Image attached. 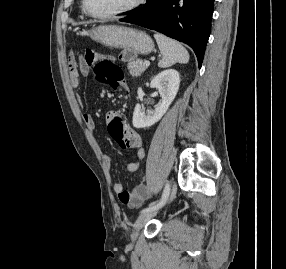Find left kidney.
Instances as JSON below:
<instances>
[{
    "label": "left kidney",
    "mask_w": 286,
    "mask_h": 269,
    "mask_svg": "<svg viewBox=\"0 0 286 269\" xmlns=\"http://www.w3.org/2000/svg\"><path fill=\"white\" fill-rule=\"evenodd\" d=\"M179 85L180 75L174 69L164 70L155 76L150 83V87L158 89L162 103L154 110H147L146 112L137 104L133 112V126L135 128H146L158 122L175 99Z\"/></svg>",
    "instance_id": "5707ae66"
}]
</instances>
